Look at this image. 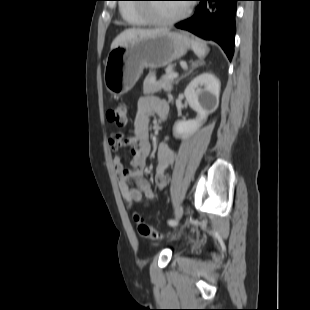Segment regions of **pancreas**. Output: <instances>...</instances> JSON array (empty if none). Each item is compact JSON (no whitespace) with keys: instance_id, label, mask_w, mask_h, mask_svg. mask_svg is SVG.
<instances>
[{"instance_id":"pancreas-1","label":"pancreas","mask_w":310,"mask_h":310,"mask_svg":"<svg viewBox=\"0 0 310 310\" xmlns=\"http://www.w3.org/2000/svg\"><path fill=\"white\" fill-rule=\"evenodd\" d=\"M172 67L167 71V74L162 77L161 80L156 81V76L154 72H149L147 77L144 80L143 83V93L144 94H153L156 92L161 91L162 89L166 92H171L174 80L173 79H167V76L172 73Z\"/></svg>"}]
</instances>
